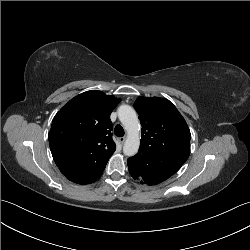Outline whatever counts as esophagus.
<instances>
[{"label":"esophagus","mask_w":250,"mask_h":250,"mask_svg":"<svg viewBox=\"0 0 250 250\" xmlns=\"http://www.w3.org/2000/svg\"><path fill=\"white\" fill-rule=\"evenodd\" d=\"M118 140L121 144H124V142L126 141V137H120Z\"/></svg>","instance_id":"obj_1"}]
</instances>
